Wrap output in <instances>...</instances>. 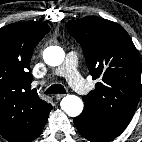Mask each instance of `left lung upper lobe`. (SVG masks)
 <instances>
[{
  "label": "left lung upper lobe",
  "mask_w": 142,
  "mask_h": 142,
  "mask_svg": "<svg viewBox=\"0 0 142 142\" xmlns=\"http://www.w3.org/2000/svg\"><path fill=\"white\" fill-rule=\"evenodd\" d=\"M80 43L87 67L99 82L83 97L85 107L111 125L125 129L141 93V60L130 36L119 24L94 16L66 24Z\"/></svg>",
  "instance_id": "left-lung-upper-lobe-1"
}]
</instances>
